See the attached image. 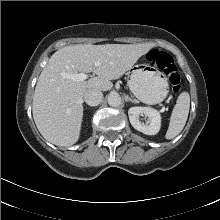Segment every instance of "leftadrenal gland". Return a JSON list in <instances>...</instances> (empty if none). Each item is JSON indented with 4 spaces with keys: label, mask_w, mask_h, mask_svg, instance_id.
<instances>
[{
    "label": "left adrenal gland",
    "mask_w": 220,
    "mask_h": 220,
    "mask_svg": "<svg viewBox=\"0 0 220 220\" xmlns=\"http://www.w3.org/2000/svg\"><path fill=\"white\" fill-rule=\"evenodd\" d=\"M124 99H125L126 102L130 101V102H132V103H137L136 100L130 98L128 95H125V96H124Z\"/></svg>",
    "instance_id": "obj_1"
}]
</instances>
